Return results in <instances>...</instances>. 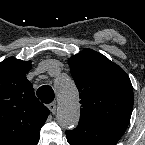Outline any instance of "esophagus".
<instances>
[{
  "label": "esophagus",
  "instance_id": "esophagus-1",
  "mask_svg": "<svg viewBox=\"0 0 145 145\" xmlns=\"http://www.w3.org/2000/svg\"><path fill=\"white\" fill-rule=\"evenodd\" d=\"M48 108H49V110H50V112H51L52 114H55V113H56L57 107H56V104H55V103H50V104L48 105Z\"/></svg>",
  "mask_w": 145,
  "mask_h": 145
}]
</instances>
